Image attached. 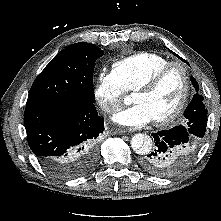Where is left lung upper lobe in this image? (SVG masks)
Masks as SVG:
<instances>
[{
  "label": "left lung upper lobe",
  "instance_id": "left-lung-upper-lobe-1",
  "mask_svg": "<svg viewBox=\"0 0 221 221\" xmlns=\"http://www.w3.org/2000/svg\"><path fill=\"white\" fill-rule=\"evenodd\" d=\"M190 80L196 90V94L184 111L186 119L184 126L195 136V139L200 142L204 137L207 125V109L203 103L204 97L199 94L197 81L192 76Z\"/></svg>",
  "mask_w": 221,
  "mask_h": 221
}]
</instances>
